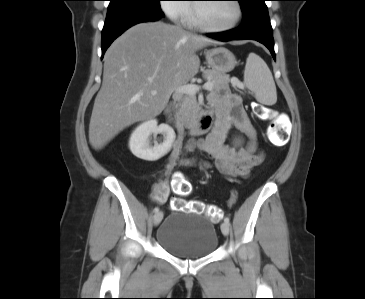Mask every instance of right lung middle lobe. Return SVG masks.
I'll return each instance as SVG.
<instances>
[{
  "instance_id": "right-lung-middle-lobe-1",
  "label": "right lung middle lobe",
  "mask_w": 365,
  "mask_h": 299,
  "mask_svg": "<svg viewBox=\"0 0 365 299\" xmlns=\"http://www.w3.org/2000/svg\"><path fill=\"white\" fill-rule=\"evenodd\" d=\"M107 13L117 12L131 7L161 8L160 0H109Z\"/></svg>"
}]
</instances>
